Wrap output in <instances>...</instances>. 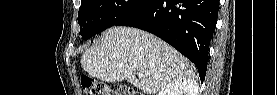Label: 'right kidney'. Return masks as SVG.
<instances>
[{"label":"right kidney","instance_id":"ca27d5eb","mask_svg":"<svg viewBox=\"0 0 277 95\" xmlns=\"http://www.w3.org/2000/svg\"><path fill=\"white\" fill-rule=\"evenodd\" d=\"M197 83L190 79H179L166 85L158 95H197Z\"/></svg>","mask_w":277,"mask_h":95}]
</instances>
